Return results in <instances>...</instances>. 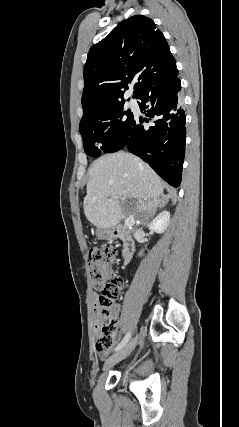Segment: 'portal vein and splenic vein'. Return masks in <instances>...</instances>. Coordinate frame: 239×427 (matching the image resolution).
I'll return each instance as SVG.
<instances>
[{
    "mask_svg": "<svg viewBox=\"0 0 239 427\" xmlns=\"http://www.w3.org/2000/svg\"><path fill=\"white\" fill-rule=\"evenodd\" d=\"M134 223V219L133 218H127L126 220H125V225L126 226H129V225H131V224H133Z\"/></svg>",
    "mask_w": 239,
    "mask_h": 427,
    "instance_id": "obj_1",
    "label": "portal vein and splenic vein"
}]
</instances>
